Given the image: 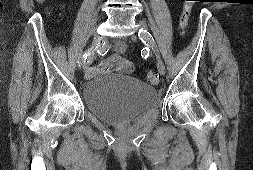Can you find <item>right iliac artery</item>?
Instances as JSON below:
<instances>
[{
	"label": "right iliac artery",
	"instance_id": "1",
	"mask_svg": "<svg viewBox=\"0 0 253 170\" xmlns=\"http://www.w3.org/2000/svg\"><path fill=\"white\" fill-rule=\"evenodd\" d=\"M97 45H98V44H97ZM96 48H97V47H96ZM90 54H91L90 51L85 52V53L81 56L80 60L78 61V65L81 66L83 60L86 61L87 57H88Z\"/></svg>",
	"mask_w": 253,
	"mask_h": 170
}]
</instances>
